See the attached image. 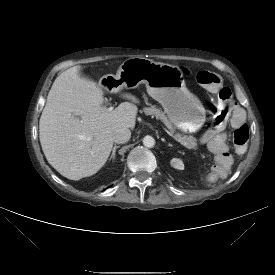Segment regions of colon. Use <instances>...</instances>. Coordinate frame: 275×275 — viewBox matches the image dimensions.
I'll return each instance as SVG.
<instances>
[{"label": "colon", "instance_id": "colon-1", "mask_svg": "<svg viewBox=\"0 0 275 275\" xmlns=\"http://www.w3.org/2000/svg\"><path fill=\"white\" fill-rule=\"evenodd\" d=\"M197 82L211 90L220 87L221 77L209 71H199L196 75ZM219 109L216 112V125L224 124L235 107V102L231 90L227 87L220 88L218 91ZM249 140V129L246 125L235 130L233 136L234 145L239 152H243ZM230 167L228 168V170Z\"/></svg>", "mask_w": 275, "mask_h": 275}]
</instances>
